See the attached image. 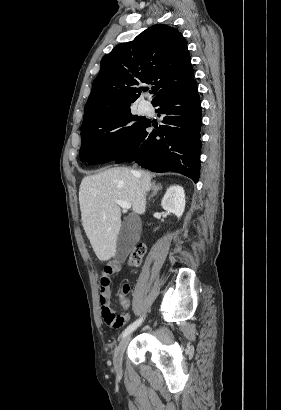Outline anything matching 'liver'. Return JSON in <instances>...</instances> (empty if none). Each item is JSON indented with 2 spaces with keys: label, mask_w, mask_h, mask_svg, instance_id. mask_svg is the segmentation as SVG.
I'll use <instances>...</instances> for the list:
<instances>
[{
  "label": "liver",
  "mask_w": 281,
  "mask_h": 410,
  "mask_svg": "<svg viewBox=\"0 0 281 410\" xmlns=\"http://www.w3.org/2000/svg\"><path fill=\"white\" fill-rule=\"evenodd\" d=\"M152 177L147 171L117 167L82 179L79 189L82 225L99 260L107 261L116 254L122 224L121 209L115 201L129 202L135 213L144 214Z\"/></svg>",
  "instance_id": "liver-1"
}]
</instances>
